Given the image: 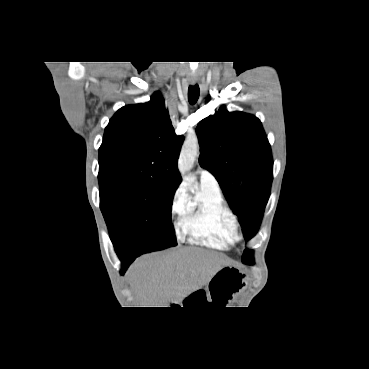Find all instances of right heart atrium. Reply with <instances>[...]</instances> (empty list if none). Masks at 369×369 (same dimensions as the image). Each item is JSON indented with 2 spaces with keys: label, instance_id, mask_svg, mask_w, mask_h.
I'll list each match as a JSON object with an SVG mask.
<instances>
[{
  "label": "right heart atrium",
  "instance_id": "obj_1",
  "mask_svg": "<svg viewBox=\"0 0 369 369\" xmlns=\"http://www.w3.org/2000/svg\"><path fill=\"white\" fill-rule=\"evenodd\" d=\"M186 195H185V190L183 187H179L172 198V203H171V213L172 215H178L181 216L185 205H186Z\"/></svg>",
  "mask_w": 369,
  "mask_h": 369
}]
</instances>
